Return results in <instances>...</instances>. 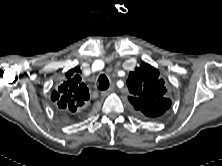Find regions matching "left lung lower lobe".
Listing matches in <instances>:
<instances>
[{"label":"left lung lower lobe","mask_w":222,"mask_h":166,"mask_svg":"<svg viewBox=\"0 0 222 166\" xmlns=\"http://www.w3.org/2000/svg\"><path fill=\"white\" fill-rule=\"evenodd\" d=\"M165 106V108L163 109L164 111L168 110L171 106V100L170 99H164V102H162Z\"/></svg>","instance_id":"obj_1"}]
</instances>
